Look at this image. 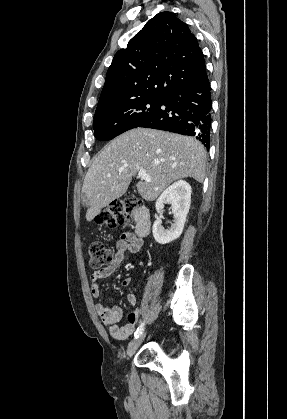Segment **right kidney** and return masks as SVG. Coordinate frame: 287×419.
Listing matches in <instances>:
<instances>
[{"instance_id":"obj_1","label":"right kidney","mask_w":287,"mask_h":419,"mask_svg":"<svg viewBox=\"0 0 287 419\" xmlns=\"http://www.w3.org/2000/svg\"><path fill=\"white\" fill-rule=\"evenodd\" d=\"M172 205L174 223L169 229L162 225L161 215L164 205ZM191 204V186L184 180H179L169 186L157 199L156 211L160 214L153 224V237L159 244H167L177 239L183 232L186 217Z\"/></svg>"}]
</instances>
